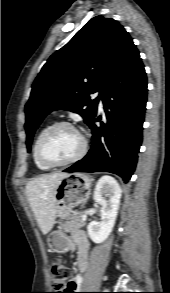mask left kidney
Returning <instances> with one entry per match:
<instances>
[{
    "label": "left kidney",
    "mask_w": 170,
    "mask_h": 293,
    "mask_svg": "<svg viewBox=\"0 0 170 293\" xmlns=\"http://www.w3.org/2000/svg\"><path fill=\"white\" fill-rule=\"evenodd\" d=\"M121 193L120 185L111 176H103L97 182L93 199L102 206L101 221H92L87 226L89 237L93 242L102 243L112 232L118 214Z\"/></svg>",
    "instance_id": "1"
}]
</instances>
